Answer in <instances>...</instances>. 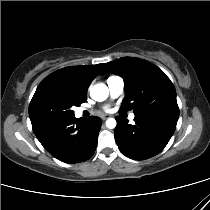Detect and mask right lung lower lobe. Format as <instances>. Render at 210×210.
Listing matches in <instances>:
<instances>
[{
	"label": "right lung lower lobe",
	"instance_id": "right-lung-lower-lobe-1",
	"mask_svg": "<svg viewBox=\"0 0 210 210\" xmlns=\"http://www.w3.org/2000/svg\"><path fill=\"white\" fill-rule=\"evenodd\" d=\"M101 124L102 120L96 116L76 119L72 115L34 130V133L55 158L65 163H79L94 154Z\"/></svg>",
	"mask_w": 210,
	"mask_h": 210
}]
</instances>
